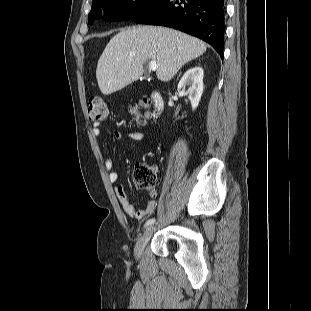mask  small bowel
Instances as JSON below:
<instances>
[{
	"instance_id": "obj_1",
	"label": "small bowel",
	"mask_w": 311,
	"mask_h": 311,
	"mask_svg": "<svg viewBox=\"0 0 311 311\" xmlns=\"http://www.w3.org/2000/svg\"><path fill=\"white\" fill-rule=\"evenodd\" d=\"M100 126L101 124L99 122H94L92 125V133L96 137L101 136ZM113 136L118 141L124 138H128L132 141L140 142L144 139V134L140 131H132L125 134L122 131L116 130L114 131ZM104 167L108 171L109 181L111 183H116L118 181V173L113 170V159L110 157L106 158L104 161ZM115 193L122 209L132 219L143 220L148 217L155 208V201L149 200L147 205L143 209H136L134 205L129 201L125 189L122 185H117L115 187Z\"/></svg>"
}]
</instances>
